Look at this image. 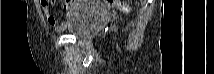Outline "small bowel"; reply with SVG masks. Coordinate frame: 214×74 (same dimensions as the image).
Listing matches in <instances>:
<instances>
[{"label":"small bowel","mask_w":214,"mask_h":74,"mask_svg":"<svg viewBox=\"0 0 214 74\" xmlns=\"http://www.w3.org/2000/svg\"><path fill=\"white\" fill-rule=\"evenodd\" d=\"M41 6H42L43 14L48 24L51 26V28L54 31H57V32L64 30V26L68 21V19L71 17V12L75 7L73 3H70V2L64 3L63 4L64 16H63V20L60 21L50 13V10H49L50 1H41Z\"/></svg>","instance_id":"c3829d8e"}]
</instances>
